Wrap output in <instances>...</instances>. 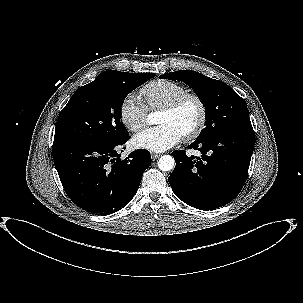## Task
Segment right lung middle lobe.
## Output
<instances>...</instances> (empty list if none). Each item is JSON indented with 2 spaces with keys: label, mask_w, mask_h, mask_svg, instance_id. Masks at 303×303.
<instances>
[{
  "label": "right lung middle lobe",
  "mask_w": 303,
  "mask_h": 303,
  "mask_svg": "<svg viewBox=\"0 0 303 303\" xmlns=\"http://www.w3.org/2000/svg\"><path fill=\"white\" fill-rule=\"evenodd\" d=\"M154 76V73H128L109 70L79 88L61 111L54 142L86 140L116 142L128 137L121 122L126 96Z\"/></svg>",
  "instance_id": "right-lung-middle-lobe-1"
}]
</instances>
